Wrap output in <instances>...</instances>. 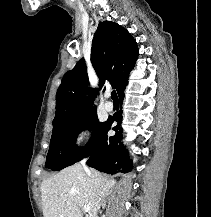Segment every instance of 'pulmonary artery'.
<instances>
[{
	"mask_svg": "<svg viewBox=\"0 0 211 217\" xmlns=\"http://www.w3.org/2000/svg\"><path fill=\"white\" fill-rule=\"evenodd\" d=\"M106 97L109 98L110 93H106ZM104 108L107 112H112L114 109V105L111 101H106V103L104 104Z\"/></svg>",
	"mask_w": 211,
	"mask_h": 217,
	"instance_id": "e3ab8cb5",
	"label": "pulmonary artery"
}]
</instances>
